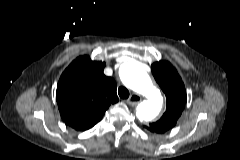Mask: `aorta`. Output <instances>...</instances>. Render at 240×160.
<instances>
[{"label": "aorta", "instance_id": "aorta-1", "mask_svg": "<svg viewBox=\"0 0 240 160\" xmlns=\"http://www.w3.org/2000/svg\"><path fill=\"white\" fill-rule=\"evenodd\" d=\"M119 75L127 87L143 97L136 108L138 119L151 121L156 118L162 109L163 97L144 69L137 63L126 62L121 65Z\"/></svg>", "mask_w": 240, "mask_h": 160}]
</instances>
